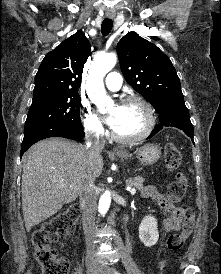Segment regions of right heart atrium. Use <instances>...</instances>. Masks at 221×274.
<instances>
[{
  "label": "right heart atrium",
  "mask_w": 221,
  "mask_h": 274,
  "mask_svg": "<svg viewBox=\"0 0 221 274\" xmlns=\"http://www.w3.org/2000/svg\"><path fill=\"white\" fill-rule=\"evenodd\" d=\"M83 128L87 135L101 138L104 135V126L97 115H95L87 104L82 107Z\"/></svg>",
  "instance_id": "obj_1"
}]
</instances>
